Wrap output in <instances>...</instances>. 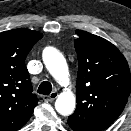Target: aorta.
Returning <instances> with one entry per match:
<instances>
[{"label":"aorta","mask_w":131,"mask_h":131,"mask_svg":"<svg viewBox=\"0 0 131 131\" xmlns=\"http://www.w3.org/2000/svg\"><path fill=\"white\" fill-rule=\"evenodd\" d=\"M43 61L50 74L64 85L68 81L69 71L64 56L55 48L47 47L43 51ZM75 97L71 92H62L55 102V108L61 115L67 116L75 109Z\"/></svg>","instance_id":"762f6f07"}]
</instances>
